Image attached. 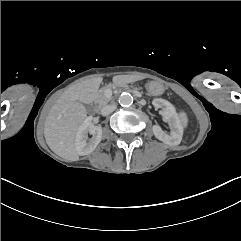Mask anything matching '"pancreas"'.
<instances>
[{"label":"pancreas","instance_id":"pancreas-1","mask_svg":"<svg viewBox=\"0 0 241 241\" xmlns=\"http://www.w3.org/2000/svg\"><path fill=\"white\" fill-rule=\"evenodd\" d=\"M112 98L111 97H106L105 96V89H101L97 98V102L100 105H105L107 104Z\"/></svg>","mask_w":241,"mask_h":241}]
</instances>
